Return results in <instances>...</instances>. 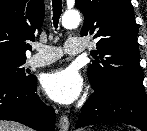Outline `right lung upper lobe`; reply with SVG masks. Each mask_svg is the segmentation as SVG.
I'll list each match as a JSON object with an SVG mask.
<instances>
[{"mask_svg": "<svg viewBox=\"0 0 147 131\" xmlns=\"http://www.w3.org/2000/svg\"><path fill=\"white\" fill-rule=\"evenodd\" d=\"M43 19V0H0V57L26 59Z\"/></svg>", "mask_w": 147, "mask_h": 131, "instance_id": "cb5924a9", "label": "right lung upper lobe"}]
</instances>
